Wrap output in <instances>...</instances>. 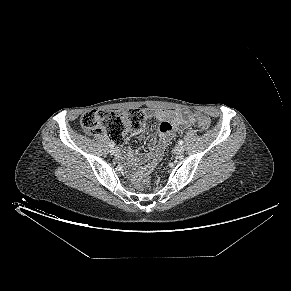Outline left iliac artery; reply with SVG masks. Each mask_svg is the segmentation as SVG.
<instances>
[{
	"mask_svg": "<svg viewBox=\"0 0 291 291\" xmlns=\"http://www.w3.org/2000/svg\"><path fill=\"white\" fill-rule=\"evenodd\" d=\"M178 144H179V145H183V141H182V140H179V141H178Z\"/></svg>",
	"mask_w": 291,
	"mask_h": 291,
	"instance_id": "1",
	"label": "left iliac artery"
}]
</instances>
